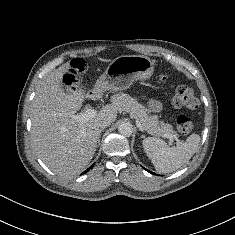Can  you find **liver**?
<instances>
[{
    "instance_id": "liver-1",
    "label": "liver",
    "mask_w": 235,
    "mask_h": 235,
    "mask_svg": "<svg viewBox=\"0 0 235 235\" xmlns=\"http://www.w3.org/2000/svg\"><path fill=\"white\" fill-rule=\"evenodd\" d=\"M69 67L62 65L39 83L31 110V134L38 156L54 173L66 177L79 174L92 160L98 123L103 119L114 122L117 118V108L111 105L83 122L73 118L88 94L82 89L63 88V75ZM92 93L98 98L103 95L100 91Z\"/></svg>"
}]
</instances>
